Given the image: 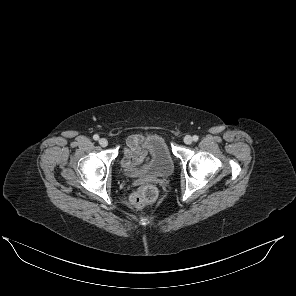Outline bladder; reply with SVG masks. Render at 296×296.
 Returning a JSON list of instances; mask_svg holds the SVG:
<instances>
[{
    "instance_id": "1",
    "label": "bladder",
    "mask_w": 296,
    "mask_h": 296,
    "mask_svg": "<svg viewBox=\"0 0 296 296\" xmlns=\"http://www.w3.org/2000/svg\"><path fill=\"white\" fill-rule=\"evenodd\" d=\"M149 158L147 163L139 168H125V172L132 177L164 178L172 175L174 161L163 137L148 135L142 142Z\"/></svg>"
}]
</instances>
